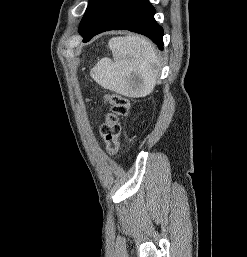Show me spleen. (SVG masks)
I'll return each mask as SVG.
<instances>
[{"label":"spleen","instance_id":"spleen-1","mask_svg":"<svg viewBox=\"0 0 247 257\" xmlns=\"http://www.w3.org/2000/svg\"><path fill=\"white\" fill-rule=\"evenodd\" d=\"M113 60L101 59L91 70V77L105 89L128 97L150 94L159 73V60L152 43L139 36L115 37L109 41ZM138 77L137 84L131 76Z\"/></svg>","mask_w":247,"mask_h":257}]
</instances>
